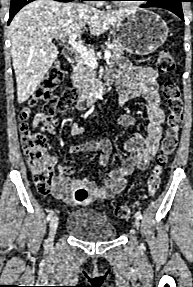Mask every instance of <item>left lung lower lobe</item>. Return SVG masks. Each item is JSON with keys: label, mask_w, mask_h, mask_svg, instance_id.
<instances>
[{"label": "left lung lower lobe", "mask_w": 193, "mask_h": 287, "mask_svg": "<svg viewBox=\"0 0 193 287\" xmlns=\"http://www.w3.org/2000/svg\"><path fill=\"white\" fill-rule=\"evenodd\" d=\"M186 2V0H156L152 2H147L142 7H159L167 9L173 13H175L178 17H180L184 21V16L182 12L181 3Z\"/></svg>", "instance_id": "obj_1"}]
</instances>
